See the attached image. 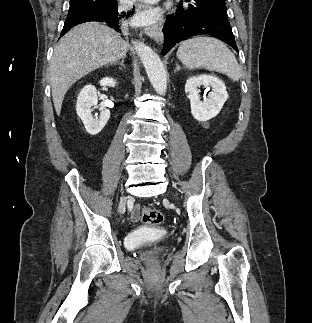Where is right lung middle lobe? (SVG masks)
Returning a JSON list of instances; mask_svg holds the SVG:
<instances>
[{
    "label": "right lung middle lobe",
    "instance_id": "1",
    "mask_svg": "<svg viewBox=\"0 0 312 323\" xmlns=\"http://www.w3.org/2000/svg\"><path fill=\"white\" fill-rule=\"evenodd\" d=\"M104 0H70V8L69 10H73L79 6H90L98 2H102Z\"/></svg>",
    "mask_w": 312,
    "mask_h": 323
}]
</instances>
